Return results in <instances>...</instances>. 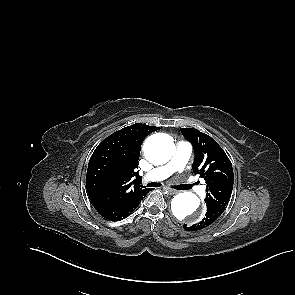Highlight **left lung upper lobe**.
I'll list each match as a JSON object with an SVG mask.
<instances>
[{
  "label": "left lung upper lobe",
  "mask_w": 295,
  "mask_h": 295,
  "mask_svg": "<svg viewBox=\"0 0 295 295\" xmlns=\"http://www.w3.org/2000/svg\"><path fill=\"white\" fill-rule=\"evenodd\" d=\"M183 136L192 143L194 174L207 184L205 202L226 206L233 189V168L224 150L210 136L194 128H182Z\"/></svg>",
  "instance_id": "1"
}]
</instances>
